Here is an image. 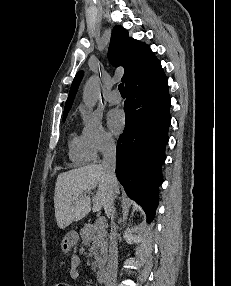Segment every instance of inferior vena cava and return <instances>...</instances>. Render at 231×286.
Masks as SVG:
<instances>
[{
	"mask_svg": "<svg viewBox=\"0 0 231 286\" xmlns=\"http://www.w3.org/2000/svg\"><path fill=\"white\" fill-rule=\"evenodd\" d=\"M116 164V146L111 139L105 140L103 148L102 167L106 173V178L109 183V203L105 210L106 215L111 218L110 245L108 254V263L106 268V285L115 286L118 266V249H117V233L114 223V192L113 188L118 184L115 175Z\"/></svg>",
	"mask_w": 231,
	"mask_h": 286,
	"instance_id": "602c4592",
	"label": "inferior vena cava"
}]
</instances>
